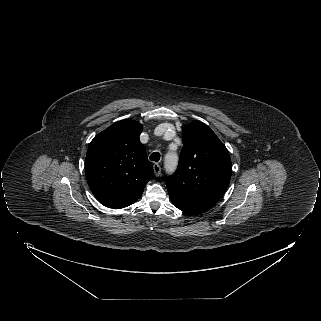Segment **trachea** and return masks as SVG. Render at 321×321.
Returning <instances> with one entry per match:
<instances>
[{
	"label": "trachea",
	"instance_id": "3493384b",
	"mask_svg": "<svg viewBox=\"0 0 321 321\" xmlns=\"http://www.w3.org/2000/svg\"><path fill=\"white\" fill-rule=\"evenodd\" d=\"M150 160L155 161V162H158V161L160 160V153H158V152H153V153L150 155Z\"/></svg>",
	"mask_w": 321,
	"mask_h": 321
}]
</instances>
